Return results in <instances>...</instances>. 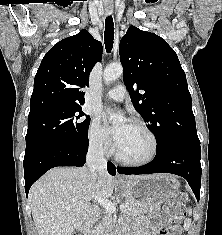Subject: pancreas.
Instances as JSON below:
<instances>
[{
    "mask_svg": "<svg viewBox=\"0 0 222 235\" xmlns=\"http://www.w3.org/2000/svg\"><path fill=\"white\" fill-rule=\"evenodd\" d=\"M158 209V207H150V208H140L136 207L132 202H125V209L123 211L124 215L128 218V220L134 219L136 216L146 213L152 209ZM112 227V216L110 213H107L98 227H96L95 235H107L106 232Z\"/></svg>",
    "mask_w": 222,
    "mask_h": 235,
    "instance_id": "cf45deb5",
    "label": "pancreas"
}]
</instances>
